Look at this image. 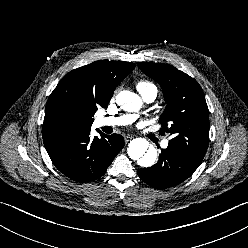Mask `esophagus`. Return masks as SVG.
<instances>
[{
    "label": "esophagus",
    "instance_id": "1",
    "mask_svg": "<svg viewBox=\"0 0 248 248\" xmlns=\"http://www.w3.org/2000/svg\"><path fill=\"white\" fill-rule=\"evenodd\" d=\"M131 139H132V136H129V135L124 137V140L126 143L129 142Z\"/></svg>",
    "mask_w": 248,
    "mask_h": 248
}]
</instances>
